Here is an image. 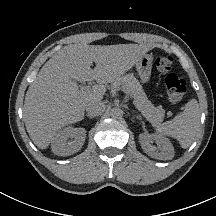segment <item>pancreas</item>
I'll return each instance as SVG.
<instances>
[{
    "label": "pancreas",
    "instance_id": "pancreas-1",
    "mask_svg": "<svg viewBox=\"0 0 216 216\" xmlns=\"http://www.w3.org/2000/svg\"><path fill=\"white\" fill-rule=\"evenodd\" d=\"M125 86L133 94L135 105L142 115L153 125H159L164 120L165 111L161 106L155 107L147 98L139 81L133 74H126L111 82V88L119 89Z\"/></svg>",
    "mask_w": 216,
    "mask_h": 216
}]
</instances>
